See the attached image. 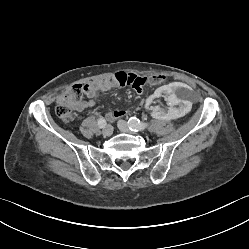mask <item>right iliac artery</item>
Wrapping results in <instances>:
<instances>
[{
  "instance_id": "obj_1",
  "label": "right iliac artery",
  "mask_w": 249,
  "mask_h": 249,
  "mask_svg": "<svg viewBox=\"0 0 249 249\" xmlns=\"http://www.w3.org/2000/svg\"><path fill=\"white\" fill-rule=\"evenodd\" d=\"M98 126L104 128L106 126V120L103 117H100L98 120Z\"/></svg>"
}]
</instances>
